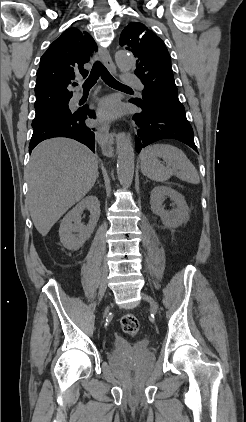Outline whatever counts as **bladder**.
<instances>
[{
    "instance_id": "obj_1",
    "label": "bladder",
    "mask_w": 246,
    "mask_h": 422,
    "mask_svg": "<svg viewBox=\"0 0 246 422\" xmlns=\"http://www.w3.org/2000/svg\"><path fill=\"white\" fill-rule=\"evenodd\" d=\"M119 352L120 351H118V350H116L114 353H113V359H115L118 355H119ZM137 359L139 360V361H142L143 363H145V364H147V365H150V364H152L153 363V361H154V356H153V354H151L150 352H147V351H141V352H138L137 354Z\"/></svg>"
}]
</instances>
